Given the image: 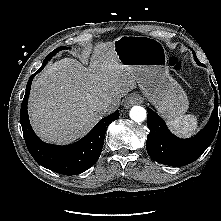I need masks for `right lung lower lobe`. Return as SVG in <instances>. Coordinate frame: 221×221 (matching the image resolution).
<instances>
[{"instance_id":"98d812e1","label":"right lung lower lobe","mask_w":221,"mask_h":221,"mask_svg":"<svg viewBox=\"0 0 221 221\" xmlns=\"http://www.w3.org/2000/svg\"><path fill=\"white\" fill-rule=\"evenodd\" d=\"M51 58L47 57L41 68L44 69ZM30 76L20 110V121L27 148L32 157L43 167L63 175H77L92 167L98 160L108 125L119 118V111L101 119L98 124L81 140L67 146H56L41 141L34 133L28 118L27 103L31 83Z\"/></svg>"}]
</instances>
